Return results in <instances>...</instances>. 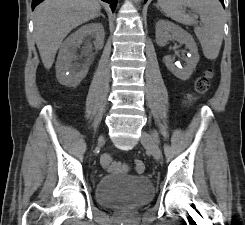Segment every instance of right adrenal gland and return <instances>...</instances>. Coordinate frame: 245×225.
<instances>
[{"mask_svg":"<svg viewBox=\"0 0 245 225\" xmlns=\"http://www.w3.org/2000/svg\"><path fill=\"white\" fill-rule=\"evenodd\" d=\"M102 16L103 18H105V15H103L102 13H99V15L97 17Z\"/></svg>","mask_w":245,"mask_h":225,"instance_id":"right-adrenal-gland-1","label":"right adrenal gland"}]
</instances>
